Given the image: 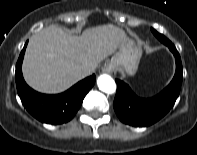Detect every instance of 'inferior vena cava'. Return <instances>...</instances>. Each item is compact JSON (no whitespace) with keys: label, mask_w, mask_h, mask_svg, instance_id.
<instances>
[{"label":"inferior vena cava","mask_w":197,"mask_h":155,"mask_svg":"<svg viewBox=\"0 0 197 155\" xmlns=\"http://www.w3.org/2000/svg\"><path fill=\"white\" fill-rule=\"evenodd\" d=\"M82 71H83L84 74H89V73L92 72V69L89 68V67H84V68L82 69Z\"/></svg>","instance_id":"1"}]
</instances>
